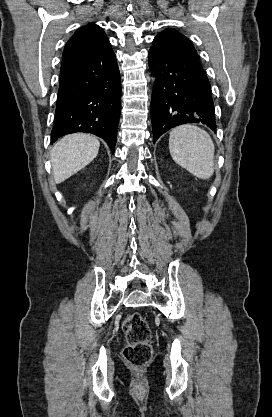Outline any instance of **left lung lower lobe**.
<instances>
[{
	"label": "left lung lower lobe",
	"instance_id": "0a47b994",
	"mask_svg": "<svg viewBox=\"0 0 272 417\" xmlns=\"http://www.w3.org/2000/svg\"><path fill=\"white\" fill-rule=\"evenodd\" d=\"M149 68L156 77L151 100L154 142L167 130L200 123L216 131L209 80L197 57L151 48Z\"/></svg>",
	"mask_w": 272,
	"mask_h": 417
}]
</instances>
